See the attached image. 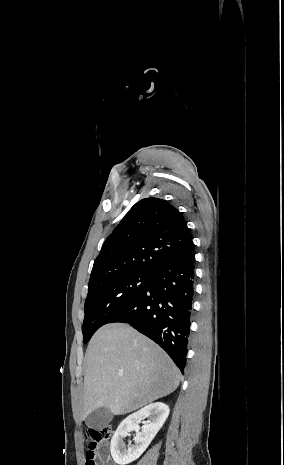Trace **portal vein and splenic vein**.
Listing matches in <instances>:
<instances>
[{"label": "portal vein and splenic vein", "mask_w": 284, "mask_h": 465, "mask_svg": "<svg viewBox=\"0 0 284 465\" xmlns=\"http://www.w3.org/2000/svg\"><path fill=\"white\" fill-rule=\"evenodd\" d=\"M118 377H123V375H118Z\"/></svg>", "instance_id": "1"}]
</instances>
